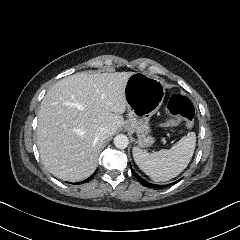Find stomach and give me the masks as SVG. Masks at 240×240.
Segmentation results:
<instances>
[{
    "instance_id": "0dacf381",
    "label": "stomach",
    "mask_w": 240,
    "mask_h": 240,
    "mask_svg": "<svg viewBox=\"0 0 240 240\" xmlns=\"http://www.w3.org/2000/svg\"><path fill=\"white\" fill-rule=\"evenodd\" d=\"M165 81L157 76L136 72L125 86L128 120L125 127L137 135L141 148L150 147L155 139L150 135V118L158 112L165 97Z\"/></svg>"
}]
</instances>
